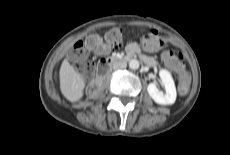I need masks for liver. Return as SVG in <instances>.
<instances>
[{
	"mask_svg": "<svg viewBox=\"0 0 230 155\" xmlns=\"http://www.w3.org/2000/svg\"><path fill=\"white\" fill-rule=\"evenodd\" d=\"M60 90L64 97L76 102L83 96L85 82L81 75L64 59L60 67Z\"/></svg>",
	"mask_w": 230,
	"mask_h": 155,
	"instance_id": "6515ba94",
	"label": "liver"
}]
</instances>
